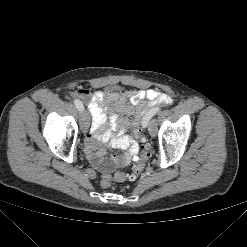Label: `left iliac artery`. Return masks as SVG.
Segmentation results:
<instances>
[{
  "label": "left iliac artery",
  "instance_id": "left-iliac-artery-1",
  "mask_svg": "<svg viewBox=\"0 0 247 247\" xmlns=\"http://www.w3.org/2000/svg\"><path fill=\"white\" fill-rule=\"evenodd\" d=\"M161 110L160 107H154L150 109L142 119V125H147L150 119Z\"/></svg>",
  "mask_w": 247,
  "mask_h": 247
}]
</instances>
